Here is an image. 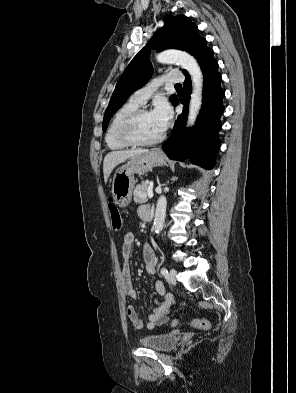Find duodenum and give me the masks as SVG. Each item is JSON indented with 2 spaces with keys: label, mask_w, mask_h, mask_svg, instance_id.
I'll return each mask as SVG.
<instances>
[{
  "label": "duodenum",
  "mask_w": 296,
  "mask_h": 393,
  "mask_svg": "<svg viewBox=\"0 0 296 393\" xmlns=\"http://www.w3.org/2000/svg\"><path fill=\"white\" fill-rule=\"evenodd\" d=\"M151 216H152V212L151 210L148 211L147 216L145 218L146 221H150L151 220Z\"/></svg>",
  "instance_id": "obj_1"
}]
</instances>
